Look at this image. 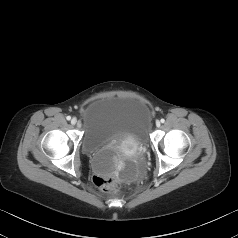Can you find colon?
<instances>
[{
	"label": "colon",
	"instance_id": "obj_1",
	"mask_svg": "<svg viewBox=\"0 0 238 238\" xmlns=\"http://www.w3.org/2000/svg\"><path fill=\"white\" fill-rule=\"evenodd\" d=\"M93 182L96 186L107 192H116L121 187L120 181L113 176L95 174L93 176Z\"/></svg>",
	"mask_w": 238,
	"mask_h": 238
}]
</instances>
